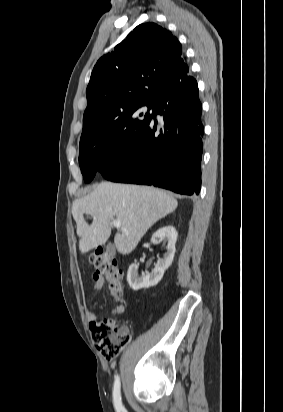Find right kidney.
Listing matches in <instances>:
<instances>
[{
	"label": "right kidney",
	"mask_w": 283,
	"mask_h": 412,
	"mask_svg": "<svg viewBox=\"0 0 283 412\" xmlns=\"http://www.w3.org/2000/svg\"><path fill=\"white\" fill-rule=\"evenodd\" d=\"M177 236L178 233L173 226L162 227L152 235L151 242L153 244H157L161 240L167 242V251L163 258L158 259L154 270L146 275L142 274L139 276V264L133 263L129 266L127 281L133 290L137 291L142 288H149L157 285L161 281L165 270L168 269L173 262Z\"/></svg>",
	"instance_id": "obj_1"
}]
</instances>
